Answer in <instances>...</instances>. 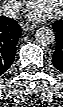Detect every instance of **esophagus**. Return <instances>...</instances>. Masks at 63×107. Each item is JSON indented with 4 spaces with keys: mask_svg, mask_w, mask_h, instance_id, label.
Listing matches in <instances>:
<instances>
[{
    "mask_svg": "<svg viewBox=\"0 0 63 107\" xmlns=\"http://www.w3.org/2000/svg\"><path fill=\"white\" fill-rule=\"evenodd\" d=\"M36 25L35 24H30V23H26L22 26L24 31H32L34 29H36Z\"/></svg>",
    "mask_w": 63,
    "mask_h": 107,
    "instance_id": "obj_1",
    "label": "esophagus"
}]
</instances>
